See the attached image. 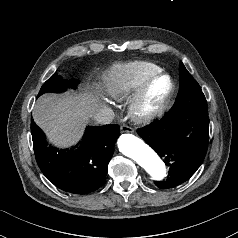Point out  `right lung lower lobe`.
Wrapping results in <instances>:
<instances>
[{
	"label": "right lung lower lobe",
	"mask_w": 238,
	"mask_h": 238,
	"mask_svg": "<svg viewBox=\"0 0 238 238\" xmlns=\"http://www.w3.org/2000/svg\"><path fill=\"white\" fill-rule=\"evenodd\" d=\"M31 133L36 161L46 178L65 192L88 194L105 182L120 130L112 124L89 127L82 146L73 154L47 148L42 143L41 130L33 123Z\"/></svg>",
	"instance_id": "right-lung-lower-lobe-1"
}]
</instances>
